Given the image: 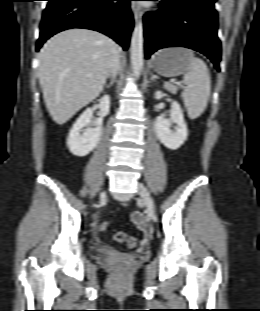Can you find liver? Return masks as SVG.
Here are the masks:
<instances>
[{
  "mask_svg": "<svg viewBox=\"0 0 260 311\" xmlns=\"http://www.w3.org/2000/svg\"><path fill=\"white\" fill-rule=\"evenodd\" d=\"M116 44L88 29L53 36L39 54V82L52 119L66 123L103 90Z\"/></svg>",
  "mask_w": 260,
  "mask_h": 311,
  "instance_id": "6515ba94",
  "label": "liver"
}]
</instances>
